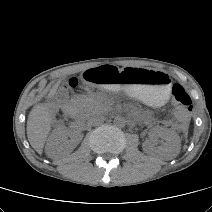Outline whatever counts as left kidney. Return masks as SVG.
Returning <instances> with one entry per match:
<instances>
[{"mask_svg":"<svg viewBox=\"0 0 212 212\" xmlns=\"http://www.w3.org/2000/svg\"><path fill=\"white\" fill-rule=\"evenodd\" d=\"M152 137L161 138L163 143L159 147H155L149 141L143 144V150L148 153H157L164 159H172L176 157L180 151V138L175 131L167 128L159 127L151 131Z\"/></svg>","mask_w":212,"mask_h":212,"instance_id":"left-kidney-1","label":"left kidney"}]
</instances>
